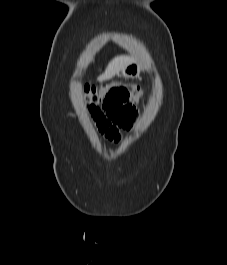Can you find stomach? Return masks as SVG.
Wrapping results in <instances>:
<instances>
[{"mask_svg": "<svg viewBox=\"0 0 227 265\" xmlns=\"http://www.w3.org/2000/svg\"><path fill=\"white\" fill-rule=\"evenodd\" d=\"M141 71L142 65L139 62L134 61L121 71V76L125 78H136L140 75Z\"/></svg>", "mask_w": 227, "mask_h": 265, "instance_id": "stomach-1", "label": "stomach"}]
</instances>
